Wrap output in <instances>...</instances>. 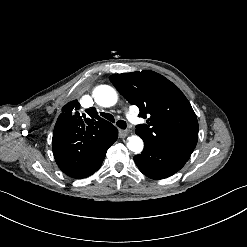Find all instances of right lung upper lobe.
I'll list each match as a JSON object with an SVG mask.
<instances>
[{
    "instance_id": "right-lung-upper-lobe-1",
    "label": "right lung upper lobe",
    "mask_w": 247,
    "mask_h": 247,
    "mask_svg": "<svg viewBox=\"0 0 247 247\" xmlns=\"http://www.w3.org/2000/svg\"><path fill=\"white\" fill-rule=\"evenodd\" d=\"M79 108L77 100L66 104L53 133V140L65 142L59 146V153L67 157L77 154V159L96 147L107 145L118 134L117 128L100 118L94 108L87 110L92 118L80 115L77 111Z\"/></svg>"
}]
</instances>
